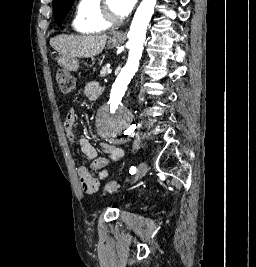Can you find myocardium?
<instances>
[{"instance_id":"obj_1","label":"myocardium","mask_w":256,"mask_h":267,"mask_svg":"<svg viewBox=\"0 0 256 267\" xmlns=\"http://www.w3.org/2000/svg\"><path fill=\"white\" fill-rule=\"evenodd\" d=\"M113 0H103V7L101 11V24L103 26L104 31H107L111 29L114 25H110V19H111V14H110V2Z\"/></svg>"}]
</instances>
